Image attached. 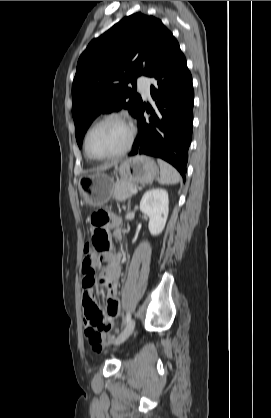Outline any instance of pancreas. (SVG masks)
Wrapping results in <instances>:
<instances>
[{
    "label": "pancreas",
    "instance_id": "obj_1",
    "mask_svg": "<svg viewBox=\"0 0 271 418\" xmlns=\"http://www.w3.org/2000/svg\"><path fill=\"white\" fill-rule=\"evenodd\" d=\"M137 188V185L124 180H119L114 185L113 197L118 201H124L128 198H131L133 189Z\"/></svg>",
    "mask_w": 271,
    "mask_h": 418
}]
</instances>
